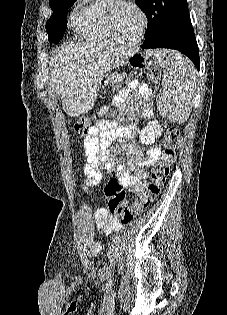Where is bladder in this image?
Returning a JSON list of instances; mask_svg holds the SVG:
<instances>
[{
  "label": "bladder",
  "instance_id": "bladder-1",
  "mask_svg": "<svg viewBox=\"0 0 227 315\" xmlns=\"http://www.w3.org/2000/svg\"><path fill=\"white\" fill-rule=\"evenodd\" d=\"M102 250V245L99 243H96L93 245V254H99Z\"/></svg>",
  "mask_w": 227,
  "mask_h": 315
}]
</instances>
